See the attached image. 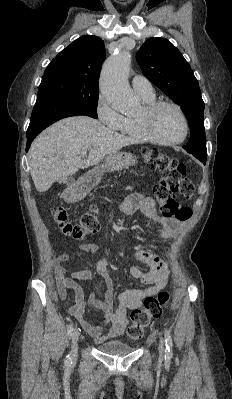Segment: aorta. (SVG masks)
I'll list each match as a JSON object with an SVG mask.
<instances>
[{
  "mask_svg": "<svg viewBox=\"0 0 232 399\" xmlns=\"http://www.w3.org/2000/svg\"><path fill=\"white\" fill-rule=\"evenodd\" d=\"M131 54L119 51L109 57L100 76V90L109 104L118 111L131 112L139 102L128 82Z\"/></svg>",
  "mask_w": 232,
  "mask_h": 399,
  "instance_id": "1",
  "label": "aorta"
}]
</instances>
